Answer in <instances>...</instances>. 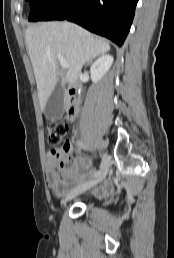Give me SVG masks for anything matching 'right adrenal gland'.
I'll use <instances>...</instances> for the list:
<instances>
[{
  "instance_id": "2a0ac1e0",
  "label": "right adrenal gland",
  "mask_w": 174,
  "mask_h": 258,
  "mask_svg": "<svg viewBox=\"0 0 174 258\" xmlns=\"http://www.w3.org/2000/svg\"><path fill=\"white\" fill-rule=\"evenodd\" d=\"M92 61L93 60L88 61L86 65H90L92 63Z\"/></svg>"
}]
</instances>
